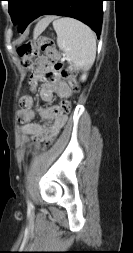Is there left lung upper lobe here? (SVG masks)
Wrapping results in <instances>:
<instances>
[{
  "mask_svg": "<svg viewBox=\"0 0 133 253\" xmlns=\"http://www.w3.org/2000/svg\"><path fill=\"white\" fill-rule=\"evenodd\" d=\"M9 3V13L14 24H18L28 0H7Z\"/></svg>",
  "mask_w": 133,
  "mask_h": 253,
  "instance_id": "1",
  "label": "left lung upper lobe"
}]
</instances>
